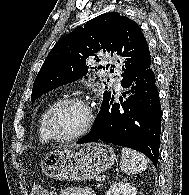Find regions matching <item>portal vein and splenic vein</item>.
I'll list each match as a JSON object with an SVG mask.
<instances>
[{"instance_id":"1","label":"portal vein and splenic vein","mask_w":189,"mask_h":195,"mask_svg":"<svg viewBox=\"0 0 189 195\" xmlns=\"http://www.w3.org/2000/svg\"><path fill=\"white\" fill-rule=\"evenodd\" d=\"M96 181H97V182H101V178H97Z\"/></svg>"}]
</instances>
